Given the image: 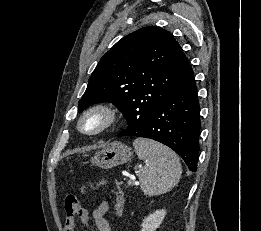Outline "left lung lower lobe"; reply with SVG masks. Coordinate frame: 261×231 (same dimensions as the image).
Wrapping results in <instances>:
<instances>
[{
  "mask_svg": "<svg viewBox=\"0 0 261 231\" xmlns=\"http://www.w3.org/2000/svg\"><path fill=\"white\" fill-rule=\"evenodd\" d=\"M200 106L194 74L141 125L128 126L117 136L145 137L174 150L192 171L197 170Z\"/></svg>",
  "mask_w": 261,
  "mask_h": 231,
  "instance_id": "1",
  "label": "left lung lower lobe"
}]
</instances>
